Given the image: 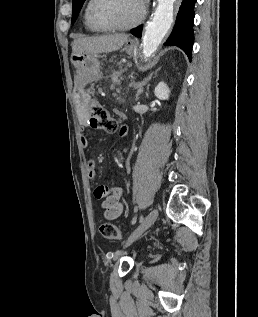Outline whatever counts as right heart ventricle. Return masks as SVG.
Returning a JSON list of instances; mask_svg holds the SVG:
<instances>
[{
    "instance_id": "obj_1",
    "label": "right heart ventricle",
    "mask_w": 258,
    "mask_h": 317,
    "mask_svg": "<svg viewBox=\"0 0 258 317\" xmlns=\"http://www.w3.org/2000/svg\"><path fill=\"white\" fill-rule=\"evenodd\" d=\"M92 2V0H89L87 3H86V6H85V11H84V23H85V26H86V29L90 32H99L100 30L95 28L89 18H88V10H89V6H90V3Z\"/></svg>"
}]
</instances>
